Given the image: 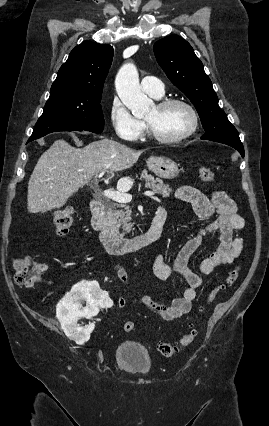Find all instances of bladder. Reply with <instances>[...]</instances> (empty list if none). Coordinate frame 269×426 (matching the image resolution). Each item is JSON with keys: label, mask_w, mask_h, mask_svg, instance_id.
Masks as SVG:
<instances>
[{"label": "bladder", "mask_w": 269, "mask_h": 426, "mask_svg": "<svg viewBox=\"0 0 269 426\" xmlns=\"http://www.w3.org/2000/svg\"><path fill=\"white\" fill-rule=\"evenodd\" d=\"M115 361L124 370L143 375L151 370L152 362L147 349L140 343L123 340L115 350Z\"/></svg>", "instance_id": "obj_1"}]
</instances>
